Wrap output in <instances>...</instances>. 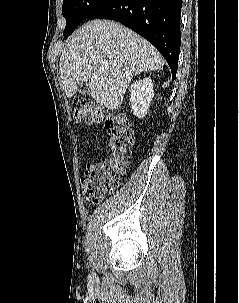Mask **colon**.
Returning <instances> with one entry per match:
<instances>
[{"label": "colon", "mask_w": 239, "mask_h": 303, "mask_svg": "<svg viewBox=\"0 0 239 303\" xmlns=\"http://www.w3.org/2000/svg\"><path fill=\"white\" fill-rule=\"evenodd\" d=\"M74 119L88 124L104 123L110 154L100 160L87 163L81 179L82 194L86 201L99 203L121 184L130 165L129 154L134 143L129 120L111 113L84 98L74 100Z\"/></svg>", "instance_id": "1"}]
</instances>
